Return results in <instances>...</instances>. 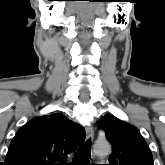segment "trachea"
Returning <instances> with one entry per match:
<instances>
[{"instance_id":"obj_1","label":"trachea","mask_w":165,"mask_h":165,"mask_svg":"<svg viewBox=\"0 0 165 165\" xmlns=\"http://www.w3.org/2000/svg\"><path fill=\"white\" fill-rule=\"evenodd\" d=\"M91 151V139L81 144L78 147L77 154L74 157L72 163H68L69 165H88L89 157Z\"/></svg>"}]
</instances>
